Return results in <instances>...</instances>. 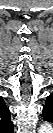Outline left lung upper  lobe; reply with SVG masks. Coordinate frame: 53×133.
Listing matches in <instances>:
<instances>
[{"mask_svg":"<svg viewBox=\"0 0 53 133\" xmlns=\"http://www.w3.org/2000/svg\"><path fill=\"white\" fill-rule=\"evenodd\" d=\"M44 120L52 121L53 118V98L49 96L43 108Z\"/></svg>","mask_w":53,"mask_h":133,"instance_id":"left-lung-upper-lobe-1","label":"left lung upper lobe"}]
</instances>
